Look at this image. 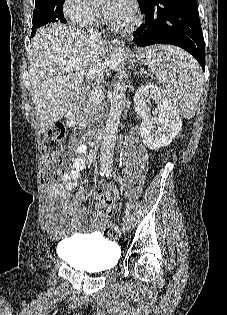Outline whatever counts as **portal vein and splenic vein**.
Instances as JSON below:
<instances>
[{
    "label": "portal vein and splenic vein",
    "mask_w": 227,
    "mask_h": 315,
    "mask_svg": "<svg viewBox=\"0 0 227 315\" xmlns=\"http://www.w3.org/2000/svg\"><path fill=\"white\" fill-rule=\"evenodd\" d=\"M74 64H78L76 61L73 62ZM67 72H70V68L66 69ZM94 79V78H92ZM91 94L94 95V97L98 98L100 97V95L102 94V91L100 88H94L92 91H91Z\"/></svg>",
    "instance_id": "18ae733b"
}]
</instances>
